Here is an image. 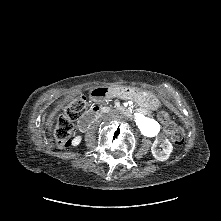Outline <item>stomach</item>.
<instances>
[{"mask_svg":"<svg viewBox=\"0 0 221 221\" xmlns=\"http://www.w3.org/2000/svg\"><path fill=\"white\" fill-rule=\"evenodd\" d=\"M118 93L122 97L133 98L145 106L152 107L158 104V99L150 92L131 87H119Z\"/></svg>","mask_w":221,"mask_h":221,"instance_id":"0dacf381","label":"stomach"}]
</instances>
